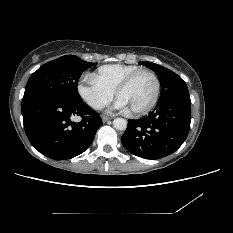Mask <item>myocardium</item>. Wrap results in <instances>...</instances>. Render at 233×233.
<instances>
[{
	"mask_svg": "<svg viewBox=\"0 0 233 233\" xmlns=\"http://www.w3.org/2000/svg\"><path fill=\"white\" fill-rule=\"evenodd\" d=\"M149 74L153 80H154V84H155V91H154V95H153V98L152 100L150 101V103L144 107V108H141V109H137V110H130L131 114L132 115H135V116H139V115H144V114H147L148 112H150L154 107L155 105L157 104V101L159 99V96H160V91H161V84H160V80L157 76V74L150 70V69H139L133 73H131L130 75H128L119 85L118 87L116 88L115 90V95L116 97H119L120 93L122 91H124L126 88H128L132 82L141 74Z\"/></svg>",
	"mask_w": 233,
	"mask_h": 233,
	"instance_id": "1",
	"label": "myocardium"
}]
</instances>
